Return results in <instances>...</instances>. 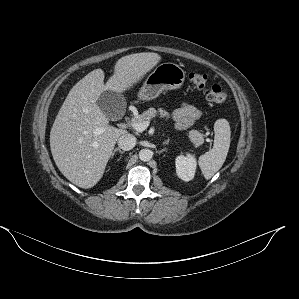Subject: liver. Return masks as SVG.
I'll return each instance as SVG.
<instances>
[{
	"instance_id": "1",
	"label": "liver",
	"mask_w": 299,
	"mask_h": 299,
	"mask_svg": "<svg viewBox=\"0 0 299 299\" xmlns=\"http://www.w3.org/2000/svg\"><path fill=\"white\" fill-rule=\"evenodd\" d=\"M161 60L153 52L130 54L115 64L104 84V71L95 69L77 82L61 106L50 132V148L60 172L73 184L91 188L102 178L118 138L127 133L109 125L97 106L105 90L123 93ZM98 130H103L98 134Z\"/></svg>"
}]
</instances>
